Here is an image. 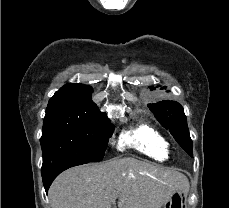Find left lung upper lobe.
<instances>
[{"label": "left lung upper lobe", "instance_id": "5c2ea615", "mask_svg": "<svg viewBox=\"0 0 229 208\" xmlns=\"http://www.w3.org/2000/svg\"><path fill=\"white\" fill-rule=\"evenodd\" d=\"M165 88L162 87L161 89ZM154 89L155 87H151V90ZM148 107L159 123L164 128L169 129L172 136L184 150L192 147L187 119L180 103L164 100L155 104H148Z\"/></svg>", "mask_w": 229, "mask_h": 208}]
</instances>
